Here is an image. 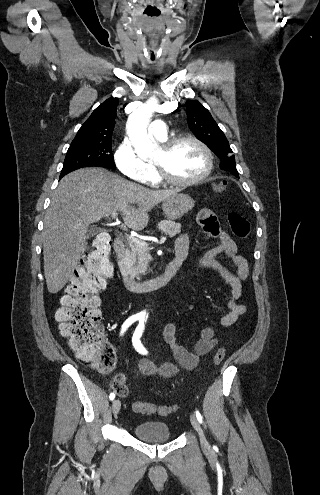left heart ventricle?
<instances>
[{"label":"left heart ventricle","mask_w":320,"mask_h":495,"mask_svg":"<svg viewBox=\"0 0 320 495\" xmlns=\"http://www.w3.org/2000/svg\"><path fill=\"white\" fill-rule=\"evenodd\" d=\"M154 162L163 164L172 176L179 179L198 177L207 165L202 150L192 142L180 143L168 154L160 149Z\"/></svg>","instance_id":"obj_1"}]
</instances>
